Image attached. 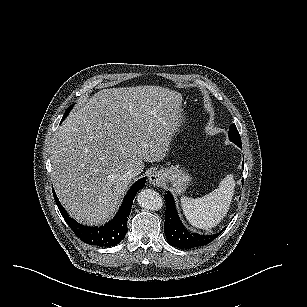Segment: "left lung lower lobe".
Here are the masks:
<instances>
[{"mask_svg":"<svg viewBox=\"0 0 307 307\" xmlns=\"http://www.w3.org/2000/svg\"><path fill=\"white\" fill-rule=\"evenodd\" d=\"M164 198L167 202L164 232L167 241L172 246L181 249L197 248L207 245L221 234V232L213 235H199L196 233H190L184 228L178 217L175 202L170 192H167Z\"/></svg>","mask_w":307,"mask_h":307,"instance_id":"obj_1","label":"left lung lower lobe"}]
</instances>
